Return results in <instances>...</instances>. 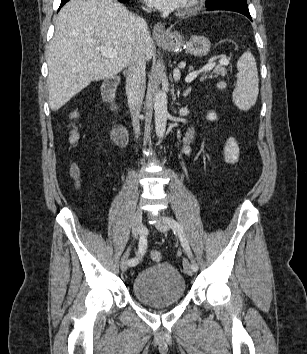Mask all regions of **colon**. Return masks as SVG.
<instances>
[{
  "label": "colon",
  "instance_id": "5ec220e1",
  "mask_svg": "<svg viewBox=\"0 0 307 354\" xmlns=\"http://www.w3.org/2000/svg\"><path fill=\"white\" fill-rule=\"evenodd\" d=\"M76 138V133H73L72 135V139L74 140ZM72 173H73V176L74 177H77L78 176V168L76 166L73 167L72 169ZM150 258L155 261V262H159L162 258V255L159 251H152L150 253Z\"/></svg>",
  "mask_w": 307,
  "mask_h": 354
}]
</instances>
